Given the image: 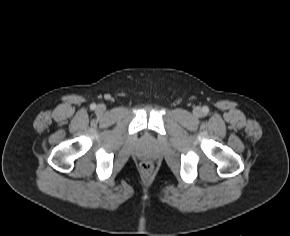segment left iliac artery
<instances>
[{"instance_id": "44dca946", "label": "left iliac artery", "mask_w": 290, "mask_h": 236, "mask_svg": "<svg viewBox=\"0 0 290 236\" xmlns=\"http://www.w3.org/2000/svg\"><path fill=\"white\" fill-rule=\"evenodd\" d=\"M208 111H209V108L207 106L203 107V112L204 113H208Z\"/></svg>"}]
</instances>
